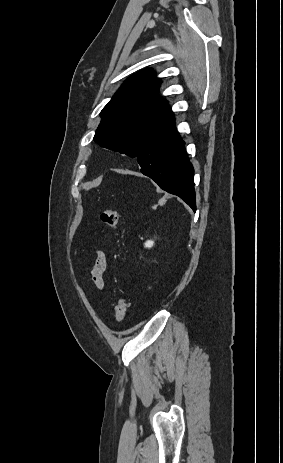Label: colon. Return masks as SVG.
I'll return each instance as SVG.
<instances>
[{
    "label": "colon",
    "mask_w": 283,
    "mask_h": 463,
    "mask_svg": "<svg viewBox=\"0 0 283 463\" xmlns=\"http://www.w3.org/2000/svg\"><path fill=\"white\" fill-rule=\"evenodd\" d=\"M99 218L104 225L112 229H117L120 225L119 215L117 211L113 209H105L101 211ZM127 307V300L123 295H121L115 307V319L117 323H121L125 319L127 314Z\"/></svg>",
    "instance_id": "5ec220e1"
}]
</instances>
